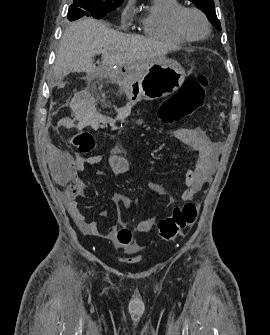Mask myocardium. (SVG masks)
I'll use <instances>...</instances> for the list:
<instances>
[{"label": "myocardium", "mask_w": 270, "mask_h": 335, "mask_svg": "<svg viewBox=\"0 0 270 335\" xmlns=\"http://www.w3.org/2000/svg\"><path fill=\"white\" fill-rule=\"evenodd\" d=\"M187 12H194L196 14H198L202 20L204 21L205 24V34L202 37L199 38H195L192 37L184 28L183 26V17ZM173 24L175 29L177 30V32L182 35L183 37H185L188 40H192V41H199V40H203L205 38H207L211 32V26L210 23L206 17V15L199 9L194 8V7H185L180 9L179 11H177L174 15L173 18Z\"/></svg>", "instance_id": "1"}]
</instances>
